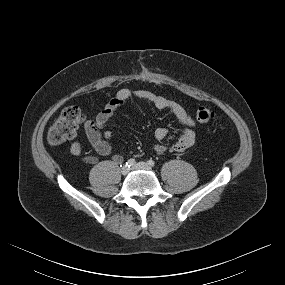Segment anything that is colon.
<instances>
[{"instance_id":"1","label":"colon","mask_w":285,"mask_h":285,"mask_svg":"<svg viewBox=\"0 0 285 285\" xmlns=\"http://www.w3.org/2000/svg\"><path fill=\"white\" fill-rule=\"evenodd\" d=\"M214 117L215 112L207 107L201 106L196 111V119L201 123L210 122ZM84 120L85 115L77 106L66 107L49 127L48 142L51 145H61L72 139Z\"/></svg>"}]
</instances>
